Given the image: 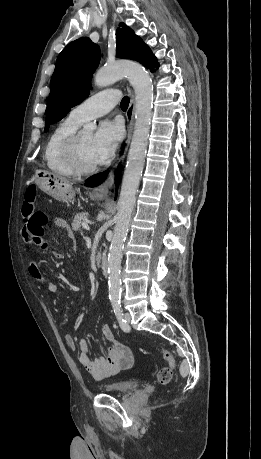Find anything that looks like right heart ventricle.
Returning a JSON list of instances; mask_svg holds the SVG:
<instances>
[{"label":"right heart ventricle","mask_w":261,"mask_h":459,"mask_svg":"<svg viewBox=\"0 0 261 459\" xmlns=\"http://www.w3.org/2000/svg\"><path fill=\"white\" fill-rule=\"evenodd\" d=\"M80 125L81 122L68 116L52 129L44 148V160L50 170L64 176L76 174L65 160L64 147Z\"/></svg>","instance_id":"e07e8e85"}]
</instances>
